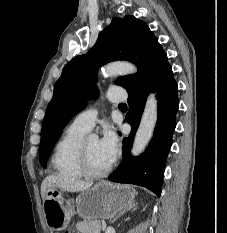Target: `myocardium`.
I'll return each instance as SVG.
<instances>
[{
    "mask_svg": "<svg viewBox=\"0 0 227 233\" xmlns=\"http://www.w3.org/2000/svg\"><path fill=\"white\" fill-rule=\"evenodd\" d=\"M79 166L85 176L93 177V178H99L106 176L113 168L114 166V160L104 169L102 170H96L94 169L89 161L88 152H87V146H86V140L82 141L80 147H79Z\"/></svg>",
    "mask_w": 227,
    "mask_h": 233,
    "instance_id": "f54148a6",
    "label": "myocardium"
}]
</instances>
